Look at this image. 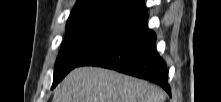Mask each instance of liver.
Returning <instances> with one entry per match:
<instances>
[{"label":"liver","mask_w":221,"mask_h":102,"mask_svg":"<svg viewBox=\"0 0 221 102\" xmlns=\"http://www.w3.org/2000/svg\"><path fill=\"white\" fill-rule=\"evenodd\" d=\"M164 91L144 80L97 67L71 71L52 102H164Z\"/></svg>","instance_id":"1"}]
</instances>
